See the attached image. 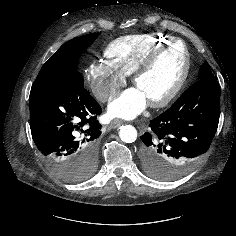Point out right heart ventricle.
<instances>
[{"instance_id":"1","label":"right heart ventricle","mask_w":236,"mask_h":236,"mask_svg":"<svg viewBox=\"0 0 236 236\" xmlns=\"http://www.w3.org/2000/svg\"><path fill=\"white\" fill-rule=\"evenodd\" d=\"M172 40L174 37L162 33L124 36L111 42L104 53L107 62L126 76L154 50Z\"/></svg>"}]
</instances>
